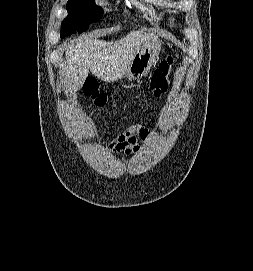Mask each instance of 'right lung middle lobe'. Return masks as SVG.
I'll list each match as a JSON object with an SVG mask.
<instances>
[{
  "label": "right lung middle lobe",
  "instance_id": "1",
  "mask_svg": "<svg viewBox=\"0 0 253 271\" xmlns=\"http://www.w3.org/2000/svg\"><path fill=\"white\" fill-rule=\"evenodd\" d=\"M68 16L62 23L61 37L70 35L75 28L85 31L91 22H97L102 17V9L95 5L94 0H68Z\"/></svg>",
  "mask_w": 253,
  "mask_h": 271
}]
</instances>
